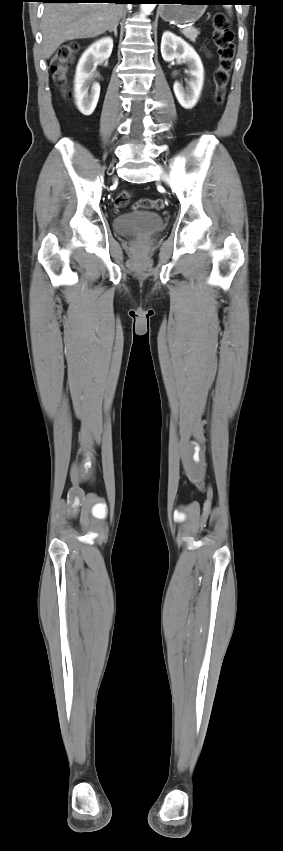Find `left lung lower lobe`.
<instances>
[{"instance_id":"1","label":"left lung lower lobe","mask_w":283,"mask_h":851,"mask_svg":"<svg viewBox=\"0 0 283 851\" xmlns=\"http://www.w3.org/2000/svg\"><path fill=\"white\" fill-rule=\"evenodd\" d=\"M168 1L169 0H143L142 2L161 4V3H167ZM214 1L216 3H219V4H223V3L237 2L238 0H214Z\"/></svg>"}]
</instances>
